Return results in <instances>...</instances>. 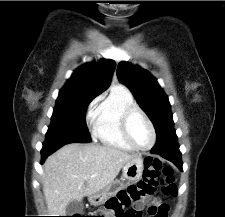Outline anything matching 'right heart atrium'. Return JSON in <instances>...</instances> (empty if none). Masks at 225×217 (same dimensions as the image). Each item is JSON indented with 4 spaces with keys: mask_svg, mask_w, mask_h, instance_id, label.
Here are the masks:
<instances>
[{
    "mask_svg": "<svg viewBox=\"0 0 225 217\" xmlns=\"http://www.w3.org/2000/svg\"><path fill=\"white\" fill-rule=\"evenodd\" d=\"M97 101H98V98H96L95 100H93V101L91 102L89 108L92 109V108L95 106V104L97 103Z\"/></svg>",
    "mask_w": 225,
    "mask_h": 217,
    "instance_id": "1",
    "label": "right heart atrium"
}]
</instances>
